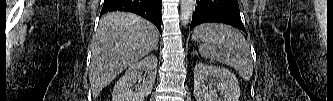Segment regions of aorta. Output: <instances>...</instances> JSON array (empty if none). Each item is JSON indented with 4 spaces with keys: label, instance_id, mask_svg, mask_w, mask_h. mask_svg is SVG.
Wrapping results in <instances>:
<instances>
[{
    "label": "aorta",
    "instance_id": "1",
    "mask_svg": "<svg viewBox=\"0 0 333 101\" xmlns=\"http://www.w3.org/2000/svg\"><path fill=\"white\" fill-rule=\"evenodd\" d=\"M196 0H181V21L186 25L192 17Z\"/></svg>",
    "mask_w": 333,
    "mask_h": 101
}]
</instances>
